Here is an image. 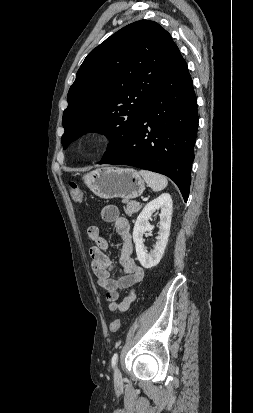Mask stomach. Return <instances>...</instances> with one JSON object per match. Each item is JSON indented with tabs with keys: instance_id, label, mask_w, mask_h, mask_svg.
I'll list each match as a JSON object with an SVG mask.
<instances>
[{
	"instance_id": "obj_1",
	"label": "stomach",
	"mask_w": 253,
	"mask_h": 413,
	"mask_svg": "<svg viewBox=\"0 0 253 413\" xmlns=\"http://www.w3.org/2000/svg\"><path fill=\"white\" fill-rule=\"evenodd\" d=\"M83 180L102 199L129 200L140 196L145 189L144 180L133 168L103 167L85 174Z\"/></svg>"
}]
</instances>
